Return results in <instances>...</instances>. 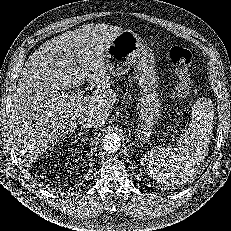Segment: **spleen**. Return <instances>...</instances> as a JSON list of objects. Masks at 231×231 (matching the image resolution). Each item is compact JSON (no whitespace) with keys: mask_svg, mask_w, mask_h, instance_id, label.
I'll return each instance as SVG.
<instances>
[{"mask_svg":"<svg viewBox=\"0 0 231 231\" xmlns=\"http://www.w3.org/2000/svg\"><path fill=\"white\" fill-rule=\"evenodd\" d=\"M213 112L201 101L194 104L191 123L181 135L177 146H157L141 157L147 174L164 186H181L192 177L209 151Z\"/></svg>","mask_w":231,"mask_h":231,"instance_id":"3e777b00","label":"spleen"}]
</instances>
